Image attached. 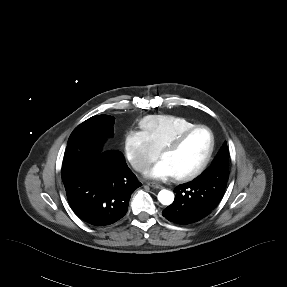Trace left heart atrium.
I'll use <instances>...</instances> for the list:
<instances>
[{"label": "left heart atrium", "instance_id": "1", "mask_svg": "<svg viewBox=\"0 0 287 287\" xmlns=\"http://www.w3.org/2000/svg\"><path fill=\"white\" fill-rule=\"evenodd\" d=\"M146 176L153 179H166L173 175L166 162L160 160L146 171Z\"/></svg>", "mask_w": 287, "mask_h": 287}]
</instances>
